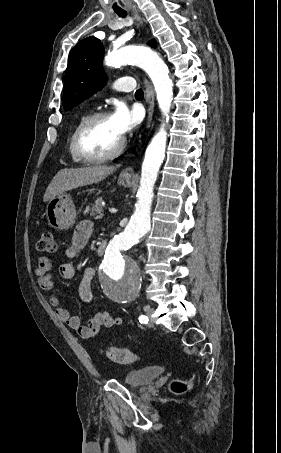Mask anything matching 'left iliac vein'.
I'll return each instance as SVG.
<instances>
[{
    "mask_svg": "<svg viewBox=\"0 0 281 453\" xmlns=\"http://www.w3.org/2000/svg\"><path fill=\"white\" fill-rule=\"evenodd\" d=\"M152 311H154V310H147V316H148V318L150 319L149 324H148V327H149V328H152L153 325L155 324V321H154L155 318H152V317H151Z\"/></svg>",
    "mask_w": 281,
    "mask_h": 453,
    "instance_id": "obj_1",
    "label": "left iliac vein"
}]
</instances>
